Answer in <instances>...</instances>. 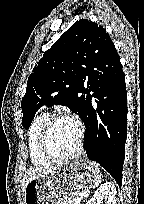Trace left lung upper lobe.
<instances>
[{
  "instance_id": "obj_1",
  "label": "left lung upper lobe",
  "mask_w": 144,
  "mask_h": 204,
  "mask_svg": "<svg viewBox=\"0 0 144 204\" xmlns=\"http://www.w3.org/2000/svg\"><path fill=\"white\" fill-rule=\"evenodd\" d=\"M117 59L115 46L102 26L86 19L74 23L44 53L28 78L21 102L23 126H30L42 105L68 106L82 119L87 70L103 63L107 67Z\"/></svg>"
}]
</instances>
